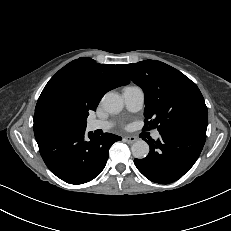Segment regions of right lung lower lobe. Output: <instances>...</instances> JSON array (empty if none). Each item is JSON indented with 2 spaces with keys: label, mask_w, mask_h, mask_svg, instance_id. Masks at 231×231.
Segmentation results:
<instances>
[{
  "label": "right lung lower lobe",
  "mask_w": 231,
  "mask_h": 231,
  "mask_svg": "<svg viewBox=\"0 0 231 231\" xmlns=\"http://www.w3.org/2000/svg\"><path fill=\"white\" fill-rule=\"evenodd\" d=\"M121 137L92 132L85 138V130L68 134L46 135L37 140L40 154L58 178L70 184L93 180L104 169L111 145Z\"/></svg>",
  "instance_id": "1"
}]
</instances>
